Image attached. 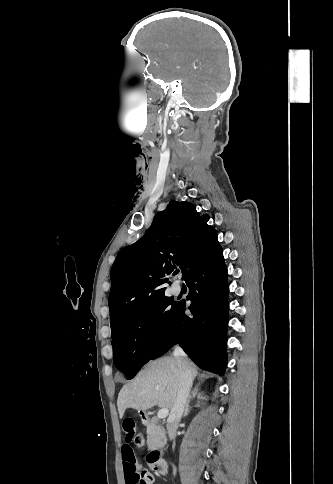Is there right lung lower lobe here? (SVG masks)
<instances>
[{"instance_id": "1", "label": "right lung lower lobe", "mask_w": 333, "mask_h": 484, "mask_svg": "<svg viewBox=\"0 0 333 484\" xmlns=\"http://www.w3.org/2000/svg\"><path fill=\"white\" fill-rule=\"evenodd\" d=\"M227 268L222 248L186 281L189 287L188 309L193 316L185 315V304L179 305L171 328L159 344L152 359L174 344L184 349L202 369L223 375L227 365L228 293Z\"/></svg>"}]
</instances>
